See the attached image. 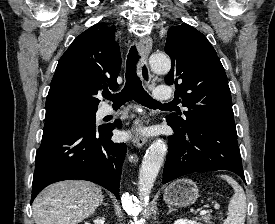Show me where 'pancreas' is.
<instances>
[{
    "label": "pancreas",
    "mask_w": 275,
    "mask_h": 224,
    "mask_svg": "<svg viewBox=\"0 0 275 224\" xmlns=\"http://www.w3.org/2000/svg\"><path fill=\"white\" fill-rule=\"evenodd\" d=\"M199 220L205 222L206 224H213L211 222V215H204V216H201L200 218H198Z\"/></svg>",
    "instance_id": "1"
}]
</instances>
